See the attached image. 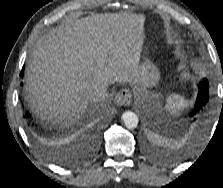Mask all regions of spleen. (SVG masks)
<instances>
[{
	"label": "spleen",
	"instance_id": "spleen-1",
	"mask_svg": "<svg viewBox=\"0 0 223 188\" xmlns=\"http://www.w3.org/2000/svg\"><path fill=\"white\" fill-rule=\"evenodd\" d=\"M188 105V100L184 99L182 96L178 94H170L166 98L165 109L167 112L171 114L177 113L182 108Z\"/></svg>",
	"mask_w": 223,
	"mask_h": 188
}]
</instances>
